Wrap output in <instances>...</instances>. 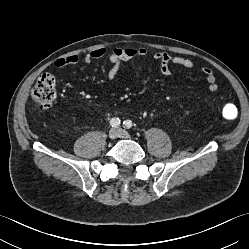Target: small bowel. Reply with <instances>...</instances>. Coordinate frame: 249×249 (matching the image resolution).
<instances>
[{
  "mask_svg": "<svg viewBox=\"0 0 249 249\" xmlns=\"http://www.w3.org/2000/svg\"><path fill=\"white\" fill-rule=\"evenodd\" d=\"M107 54L105 49L99 48L87 53L83 60L89 64L95 60L105 57ZM148 55V50L144 47H115L108 55L111 67L108 71V79L114 80L124 62L130 61L137 57H145ZM152 58L159 63L160 72L165 77H172L174 74L173 66H180L186 69H192L195 63L186 57L175 56L167 51H157L152 54ZM79 62L77 55L58 58L55 61V66L63 68L69 65H76ZM203 73L208 89L210 92H215L218 89V83L213 70L208 66H202Z\"/></svg>",
  "mask_w": 249,
  "mask_h": 249,
  "instance_id": "c3829d8e",
  "label": "small bowel"
}]
</instances>
